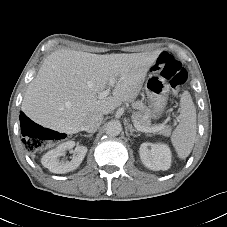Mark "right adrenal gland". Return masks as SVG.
Wrapping results in <instances>:
<instances>
[{"instance_id": "2a0ac1e0", "label": "right adrenal gland", "mask_w": 227, "mask_h": 227, "mask_svg": "<svg viewBox=\"0 0 227 227\" xmlns=\"http://www.w3.org/2000/svg\"><path fill=\"white\" fill-rule=\"evenodd\" d=\"M92 136H93V134H87V135L85 134V135H84V137H88V138H90V137H92Z\"/></svg>"}]
</instances>
